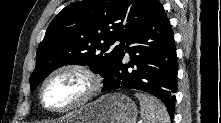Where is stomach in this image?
Instances as JSON below:
<instances>
[{"mask_svg":"<svg viewBox=\"0 0 221 123\" xmlns=\"http://www.w3.org/2000/svg\"><path fill=\"white\" fill-rule=\"evenodd\" d=\"M138 109L128 96L114 92L67 114L60 123H136Z\"/></svg>","mask_w":221,"mask_h":123,"instance_id":"1","label":"stomach"}]
</instances>
